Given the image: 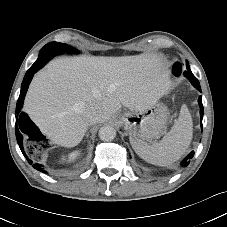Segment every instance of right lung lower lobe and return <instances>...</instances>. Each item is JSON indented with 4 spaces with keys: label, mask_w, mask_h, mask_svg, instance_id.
Segmentation results:
<instances>
[{
    "label": "right lung lower lobe",
    "mask_w": 227,
    "mask_h": 227,
    "mask_svg": "<svg viewBox=\"0 0 227 227\" xmlns=\"http://www.w3.org/2000/svg\"><path fill=\"white\" fill-rule=\"evenodd\" d=\"M54 55H56L55 52L47 50H44L39 54L37 61L29 68L23 79L20 96L16 105L17 113L15 127L16 138L23 155L26 157L30 164H32V161L26 156L22 145L23 133L31 135L32 128L36 129L37 131H39V129L33 124V122L30 121V119L24 112H21V108L23 106L25 94L27 92L28 86L32 80L34 73L41 69ZM33 167L41 172H45L41 168L40 164H33Z\"/></svg>",
    "instance_id": "obj_1"
}]
</instances>
